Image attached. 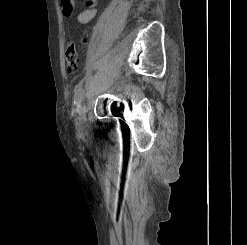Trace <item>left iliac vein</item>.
Returning a JSON list of instances; mask_svg holds the SVG:
<instances>
[{
  "label": "left iliac vein",
  "mask_w": 247,
  "mask_h": 245,
  "mask_svg": "<svg viewBox=\"0 0 247 245\" xmlns=\"http://www.w3.org/2000/svg\"><path fill=\"white\" fill-rule=\"evenodd\" d=\"M85 111V104H81L78 108V118L76 120V127L78 130H83L86 126Z\"/></svg>",
  "instance_id": "4c4485c4"
}]
</instances>
